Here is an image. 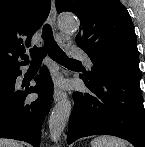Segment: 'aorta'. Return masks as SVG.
Segmentation results:
<instances>
[{
	"mask_svg": "<svg viewBox=\"0 0 145 147\" xmlns=\"http://www.w3.org/2000/svg\"><path fill=\"white\" fill-rule=\"evenodd\" d=\"M58 25L60 30L64 32L74 31L79 27L78 21L71 14L60 15ZM71 111L72 105L68 99L58 102L54 107L49 119V130L54 139L61 136L69 120Z\"/></svg>",
	"mask_w": 145,
	"mask_h": 147,
	"instance_id": "obj_1",
	"label": "aorta"
}]
</instances>
